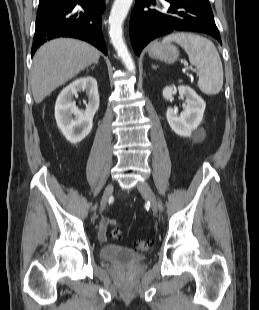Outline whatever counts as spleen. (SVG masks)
Here are the masks:
<instances>
[{"instance_id": "spleen-1", "label": "spleen", "mask_w": 259, "mask_h": 310, "mask_svg": "<svg viewBox=\"0 0 259 310\" xmlns=\"http://www.w3.org/2000/svg\"><path fill=\"white\" fill-rule=\"evenodd\" d=\"M179 44L188 54L189 61L198 69V87L207 95L218 94L223 86V67L215 45L207 38L186 32L166 36L162 44Z\"/></svg>"}]
</instances>
